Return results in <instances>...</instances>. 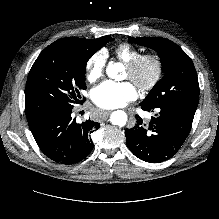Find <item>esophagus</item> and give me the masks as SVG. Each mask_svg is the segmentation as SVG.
Instances as JSON below:
<instances>
[{
	"mask_svg": "<svg viewBox=\"0 0 219 219\" xmlns=\"http://www.w3.org/2000/svg\"><path fill=\"white\" fill-rule=\"evenodd\" d=\"M111 111L110 110H105L103 111V114H102V120H106L108 118V116L110 115Z\"/></svg>",
	"mask_w": 219,
	"mask_h": 219,
	"instance_id": "34e87169",
	"label": "esophagus"
}]
</instances>
